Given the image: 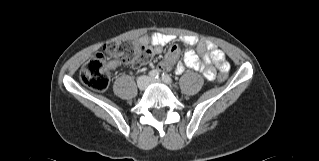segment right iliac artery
I'll return each instance as SVG.
<instances>
[{
  "mask_svg": "<svg viewBox=\"0 0 319 161\" xmlns=\"http://www.w3.org/2000/svg\"><path fill=\"white\" fill-rule=\"evenodd\" d=\"M149 77L152 78V79H156L159 77V71L158 70H151L149 73H148Z\"/></svg>",
  "mask_w": 319,
  "mask_h": 161,
  "instance_id": "82829eb1",
  "label": "right iliac artery"
}]
</instances>
